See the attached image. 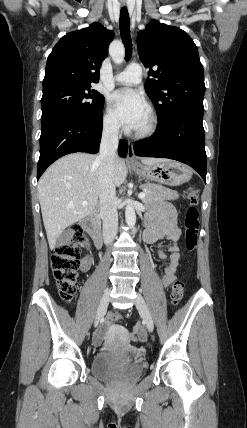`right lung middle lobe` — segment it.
Returning a JSON list of instances; mask_svg holds the SVG:
<instances>
[{"mask_svg": "<svg viewBox=\"0 0 247 428\" xmlns=\"http://www.w3.org/2000/svg\"><path fill=\"white\" fill-rule=\"evenodd\" d=\"M41 105V118L65 114L91 120L102 114L104 97L91 86H63L43 92Z\"/></svg>", "mask_w": 247, "mask_h": 428, "instance_id": "dd1d6c3e", "label": "right lung middle lobe"}]
</instances>
